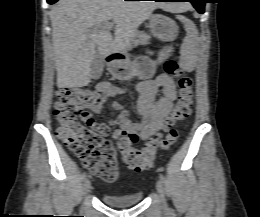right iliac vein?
Wrapping results in <instances>:
<instances>
[{
  "label": "right iliac vein",
  "mask_w": 260,
  "mask_h": 217,
  "mask_svg": "<svg viewBox=\"0 0 260 217\" xmlns=\"http://www.w3.org/2000/svg\"><path fill=\"white\" fill-rule=\"evenodd\" d=\"M91 189V182L89 179H86L84 181V184H83V191H84V194H87Z\"/></svg>",
  "instance_id": "63e3f726"
}]
</instances>
